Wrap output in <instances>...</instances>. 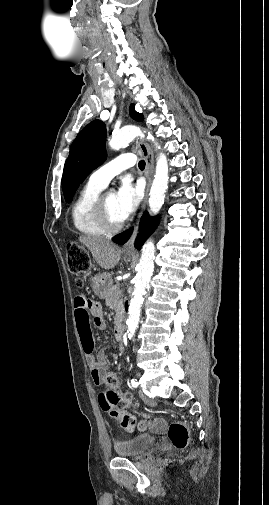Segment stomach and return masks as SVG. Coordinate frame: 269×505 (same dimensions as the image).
I'll use <instances>...</instances> for the list:
<instances>
[{"label":"stomach","instance_id":"0dacf381","mask_svg":"<svg viewBox=\"0 0 269 505\" xmlns=\"http://www.w3.org/2000/svg\"><path fill=\"white\" fill-rule=\"evenodd\" d=\"M92 288L97 296L104 298L112 287L113 280L109 273H99L91 279Z\"/></svg>","mask_w":269,"mask_h":505}]
</instances>
